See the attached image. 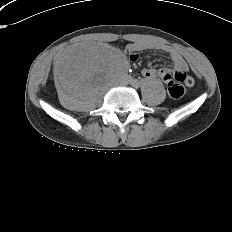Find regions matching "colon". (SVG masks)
<instances>
[{
  "mask_svg": "<svg viewBox=\"0 0 232 232\" xmlns=\"http://www.w3.org/2000/svg\"><path fill=\"white\" fill-rule=\"evenodd\" d=\"M192 82V79L186 75H174L172 79L166 81L170 97L174 99L182 97L184 94V85H191Z\"/></svg>",
  "mask_w": 232,
  "mask_h": 232,
  "instance_id": "1",
  "label": "colon"
}]
</instances>
